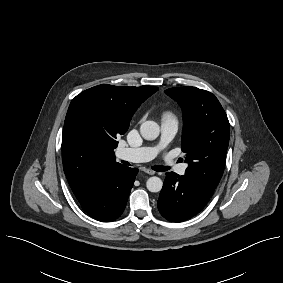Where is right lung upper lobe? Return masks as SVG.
Masks as SVG:
<instances>
[{"instance_id": "cb5924a9", "label": "right lung upper lobe", "mask_w": 283, "mask_h": 283, "mask_svg": "<svg viewBox=\"0 0 283 283\" xmlns=\"http://www.w3.org/2000/svg\"><path fill=\"white\" fill-rule=\"evenodd\" d=\"M158 90L157 87L98 85L80 93L93 105L115 108L119 112L118 133L124 134L137 108ZM118 144V142L116 141ZM116 145H94L81 138L65 119L62 136L63 169L76 198L85 193L93 175L103 166L117 163Z\"/></svg>"}]
</instances>
